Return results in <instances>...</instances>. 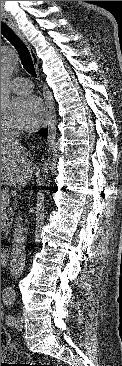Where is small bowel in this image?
I'll use <instances>...</instances> for the list:
<instances>
[{
	"label": "small bowel",
	"mask_w": 122,
	"mask_h": 366,
	"mask_svg": "<svg viewBox=\"0 0 122 366\" xmlns=\"http://www.w3.org/2000/svg\"><path fill=\"white\" fill-rule=\"evenodd\" d=\"M1 261H2V257H1ZM2 316H3V312H2V310H1V318H2Z\"/></svg>",
	"instance_id": "1"
}]
</instances>
